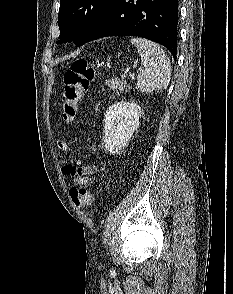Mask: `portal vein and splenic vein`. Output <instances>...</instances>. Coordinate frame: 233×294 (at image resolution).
<instances>
[{
	"mask_svg": "<svg viewBox=\"0 0 233 294\" xmlns=\"http://www.w3.org/2000/svg\"><path fill=\"white\" fill-rule=\"evenodd\" d=\"M138 71H141V68H139ZM130 76L133 79L135 75H134V73H132ZM124 77H125V75L122 76V78H124Z\"/></svg>",
	"mask_w": 233,
	"mask_h": 294,
	"instance_id": "obj_1",
	"label": "portal vein and splenic vein"
}]
</instances>
